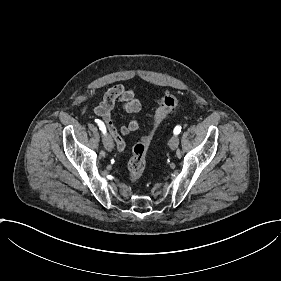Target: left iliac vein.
<instances>
[{
  "mask_svg": "<svg viewBox=\"0 0 281 281\" xmlns=\"http://www.w3.org/2000/svg\"><path fill=\"white\" fill-rule=\"evenodd\" d=\"M169 147L170 148H177L178 147V145H179V139H178V137L175 135L174 137H171V139H170V142H169Z\"/></svg>",
  "mask_w": 281,
  "mask_h": 281,
  "instance_id": "left-iliac-vein-1",
  "label": "left iliac vein"
}]
</instances>
